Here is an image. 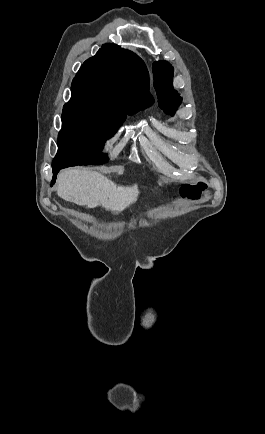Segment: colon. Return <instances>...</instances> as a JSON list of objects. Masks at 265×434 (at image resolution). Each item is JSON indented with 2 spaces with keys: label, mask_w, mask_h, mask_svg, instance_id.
<instances>
[{
  "label": "colon",
  "mask_w": 265,
  "mask_h": 434,
  "mask_svg": "<svg viewBox=\"0 0 265 434\" xmlns=\"http://www.w3.org/2000/svg\"><path fill=\"white\" fill-rule=\"evenodd\" d=\"M179 192L188 193L187 195L188 202H205L206 200L205 193H199L200 192L199 181H194L193 184H180Z\"/></svg>",
  "instance_id": "obj_1"
}]
</instances>
